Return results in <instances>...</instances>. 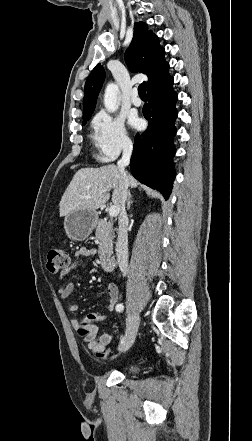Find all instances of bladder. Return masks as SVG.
Instances as JSON below:
<instances>
[{"instance_id": "1", "label": "bladder", "mask_w": 252, "mask_h": 441, "mask_svg": "<svg viewBox=\"0 0 252 441\" xmlns=\"http://www.w3.org/2000/svg\"><path fill=\"white\" fill-rule=\"evenodd\" d=\"M138 369H139V368H138L137 365H130V366H128V367L126 368V370H127L128 372H131V373L138 371Z\"/></svg>"}]
</instances>
